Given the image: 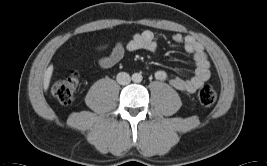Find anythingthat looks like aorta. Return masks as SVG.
I'll return each instance as SVG.
<instances>
[{
    "label": "aorta",
    "mask_w": 267,
    "mask_h": 166,
    "mask_svg": "<svg viewBox=\"0 0 267 166\" xmlns=\"http://www.w3.org/2000/svg\"><path fill=\"white\" fill-rule=\"evenodd\" d=\"M141 80H142L141 74H138V73L133 74V81L140 82Z\"/></svg>",
    "instance_id": "1"
}]
</instances>
